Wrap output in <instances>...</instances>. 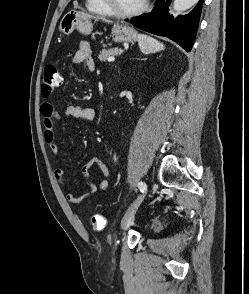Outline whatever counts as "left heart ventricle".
<instances>
[{"instance_id": "obj_1", "label": "left heart ventricle", "mask_w": 249, "mask_h": 294, "mask_svg": "<svg viewBox=\"0 0 249 294\" xmlns=\"http://www.w3.org/2000/svg\"><path fill=\"white\" fill-rule=\"evenodd\" d=\"M115 7L122 11H130L139 7L144 0H112Z\"/></svg>"}]
</instances>
